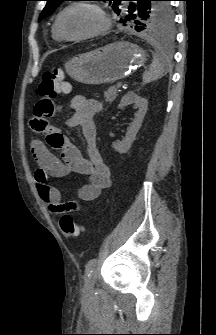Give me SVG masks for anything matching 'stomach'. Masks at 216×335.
Returning a JSON list of instances; mask_svg holds the SVG:
<instances>
[{
  "label": "stomach",
  "mask_w": 216,
  "mask_h": 335,
  "mask_svg": "<svg viewBox=\"0 0 216 335\" xmlns=\"http://www.w3.org/2000/svg\"><path fill=\"white\" fill-rule=\"evenodd\" d=\"M145 61L146 53L139 46L119 41L73 57L65 70L83 84H109L126 78Z\"/></svg>",
  "instance_id": "0dacf381"
}]
</instances>
